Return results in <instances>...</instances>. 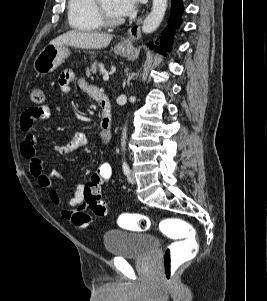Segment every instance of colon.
<instances>
[{"mask_svg": "<svg viewBox=\"0 0 267 301\" xmlns=\"http://www.w3.org/2000/svg\"><path fill=\"white\" fill-rule=\"evenodd\" d=\"M30 98L34 104H42L44 93L41 88L33 87ZM112 167L109 163L101 164L92 174L91 179L84 186V200L86 205L99 217L107 215L106 201L101 194L103 184L110 181ZM123 227L134 231H147L151 228L150 218L140 213H125L119 218ZM159 230L174 241L163 253V271L166 281H171L179 268L191 260L197 252V241L193 226L180 218H165L158 224Z\"/></svg>", "mask_w": 267, "mask_h": 301, "instance_id": "1", "label": "colon"}]
</instances>
